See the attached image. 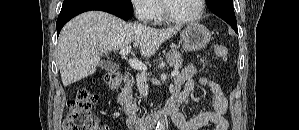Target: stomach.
I'll list each match as a JSON object with an SVG mask.
<instances>
[{
    "instance_id": "1",
    "label": "stomach",
    "mask_w": 299,
    "mask_h": 130,
    "mask_svg": "<svg viewBox=\"0 0 299 130\" xmlns=\"http://www.w3.org/2000/svg\"><path fill=\"white\" fill-rule=\"evenodd\" d=\"M180 38L183 48L186 51L194 52L207 46L211 40V33L205 26L192 23L180 33Z\"/></svg>"
}]
</instances>
